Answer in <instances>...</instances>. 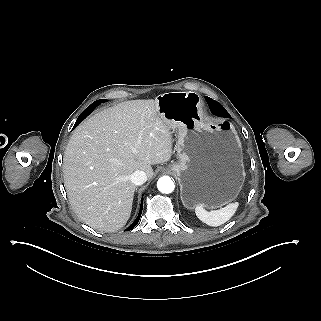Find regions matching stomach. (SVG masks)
<instances>
[{"label": "stomach", "instance_id": "0dacf381", "mask_svg": "<svg viewBox=\"0 0 321 321\" xmlns=\"http://www.w3.org/2000/svg\"><path fill=\"white\" fill-rule=\"evenodd\" d=\"M160 117L176 132L178 161L169 166L180 184L183 205L218 208L235 199L245 181L242 145L232 122H203L196 92L165 93L155 98Z\"/></svg>", "mask_w": 321, "mask_h": 321}]
</instances>
